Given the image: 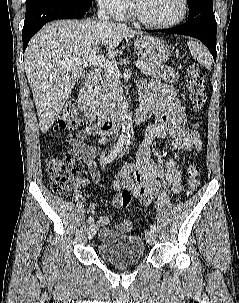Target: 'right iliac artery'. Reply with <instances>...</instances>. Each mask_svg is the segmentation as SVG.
<instances>
[{
	"mask_svg": "<svg viewBox=\"0 0 239 303\" xmlns=\"http://www.w3.org/2000/svg\"><path fill=\"white\" fill-rule=\"evenodd\" d=\"M124 144H125L124 141H118L117 144L114 146L113 151L103 159V163L108 164V163L112 162L122 151ZM93 222H94V219H93V217L90 216L87 219V223L92 224Z\"/></svg>",
	"mask_w": 239,
	"mask_h": 303,
	"instance_id": "1",
	"label": "right iliac artery"
}]
</instances>
